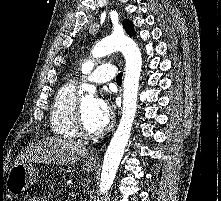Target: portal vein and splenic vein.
Segmentation results:
<instances>
[{"label": "portal vein and splenic vein", "mask_w": 221, "mask_h": 201, "mask_svg": "<svg viewBox=\"0 0 221 201\" xmlns=\"http://www.w3.org/2000/svg\"><path fill=\"white\" fill-rule=\"evenodd\" d=\"M69 195H70L71 197H75V196H76V194H75L74 192H70Z\"/></svg>", "instance_id": "18ae733b"}]
</instances>
